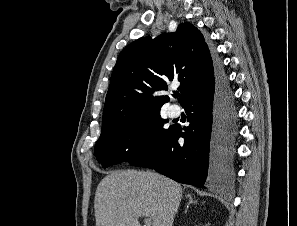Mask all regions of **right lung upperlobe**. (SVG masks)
<instances>
[{"label": "right lung upper lobe", "mask_w": 297, "mask_h": 226, "mask_svg": "<svg viewBox=\"0 0 297 226\" xmlns=\"http://www.w3.org/2000/svg\"><path fill=\"white\" fill-rule=\"evenodd\" d=\"M215 63L201 32L182 23L175 33L155 39L140 38L119 54L106 96L102 125H113L128 117L160 110L169 101L159 92L172 80L179 87L183 104L214 82Z\"/></svg>", "instance_id": "cb5924a9"}]
</instances>
